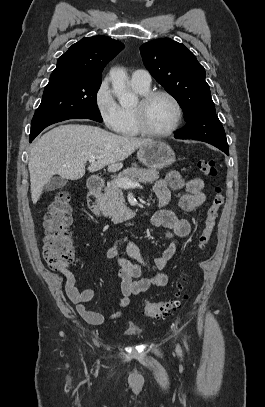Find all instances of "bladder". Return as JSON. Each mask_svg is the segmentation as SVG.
I'll return each mask as SVG.
<instances>
[{"label": "bladder", "instance_id": "bladder-1", "mask_svg": "<svg viewBox=\"0 0 265 407\" xmlns=\"http://www.w3.org/2000/svg\"><path fill=\"white\" fill-rule=\"evenodd\" d=\"M125 334L129 336H139L141 334V330L136 325H129L126 327Z\"/></svg>", "mask_w": 265, "mask_h": 407}]
</instances>
